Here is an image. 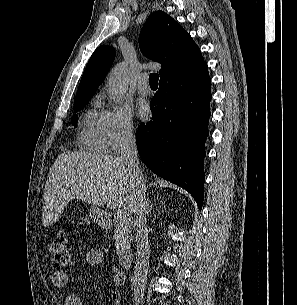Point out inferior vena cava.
Wrapping results in <instances>:
<instances>
[{
  "instance_id": "inferior-vena-cava-1",
  "label": "inferior vena cava",
  "mask_w": 297,
  "mask_h": 305,
  "mask_svg": "<svg viewBox=\"0 0 297 305\" xmlns=\"http://www.w3.org/2000/svg\"><path fill=\"white\" fill-rule=\"evenodd\" d=\"M120 157L126 162L129 172L133 174L135 179V192L131 205L134 213L133 227L137 242L133 291L134 300L139 302L143 298L146 288L150 248L146 219V184L140 168L136 139L131 128H125L121 133Z\"/></svg>"
}]
</instances>
